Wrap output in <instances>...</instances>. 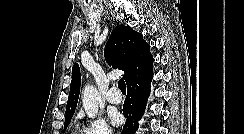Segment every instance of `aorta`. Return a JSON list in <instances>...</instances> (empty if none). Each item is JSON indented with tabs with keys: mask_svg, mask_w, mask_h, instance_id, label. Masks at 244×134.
I'll return each instance as SVG.
<instances>
[{
	"mask_svg": "<svg viewBox=\"0 0 244 134\" xmlns=\"http://www.w3.org/2000/svg\"><path fill=\"white\" fill-rule=\"evenodd\" d=\"M101 96L97 88L93 85H86L83 92V107L88 117L94 118L98 114Z\"/></svg>",
	"mask_w": 244,
	"mask_h": 134,
	"instance_id": "obj_1",
	"label": "aorta"
}]
</instances>
